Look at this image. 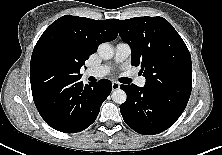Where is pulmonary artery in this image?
Listing matches in <instances>:
<instances>
[{
	"label": "pulmonary artery",
	"mask_w": 222,
	"mask_h": 155,
	"mask_svg": "<svg viewBox=\"0 0 222 155\" xmlns=\"http://www.w3.org/2000/svg\"><path fill=\"white\" fill-rule=\"evenodd\" d=\"M131 55V47L129 44L125 42H120L115 46V54H114V63H122L127 60ZM111 65H100L95 67H90L86 69L85 75L87 77H96L102 78L108 75L111 71ZM146 79L144 77H137L135 83L140 86L144 87Z\"/></svg>",
	"instance_id": "1"
}]
</instances>
